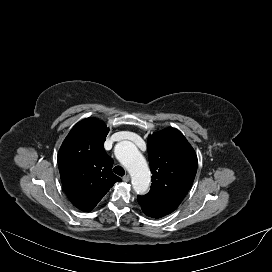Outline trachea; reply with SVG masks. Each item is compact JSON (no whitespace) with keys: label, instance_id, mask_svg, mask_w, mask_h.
Masks as SVG:
<instances>
[{"label":"trachea","instance_id":"trachea-1","mask_svg":"<svg viewBox=\"0 0 272 272\" xmlns=\"http://www.w3.org/2000/svg\"><path fill=\"white\" fill-rule=\"evenodd\" d=\"M114 173H116L119 176H123L125 174V170L121 166H115L113 168Z\"/></svg>","mask_w":272,"mask_h":272}]
</instances>
